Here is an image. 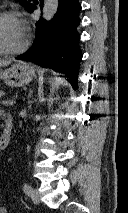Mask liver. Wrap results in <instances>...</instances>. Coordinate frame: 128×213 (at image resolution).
<instances>
[{
    "instance_id": "1",
    "label": "liver",
    "mask_w": 128,
    "mask_h": 213,
    "mask_svg": "<svg viewBox=\"0 0 128 213\" xmlns=\"http://www.w3.org/2000/svg\"><path fill=\"white\" fill-rule=\"evenodd\" d=\"M10 64L9 60H0V67H4Z\"/></svg>"
}]
</instances>
